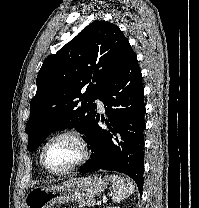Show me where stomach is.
Wrapping results in <instances>:
<instances>
[{"instance_id": "1", "label": "stomach", "mask_w": 199, "mask_h": 208, "mask_svg": "<svg viewBox=\"0 0 199 208\" xmlns=\"http://www.w3.org/2000/svg\"><path fill=\"white\" fill-rule=\"evenodd\" d=\"M107 183L96 175L69 179L58 185L35 187L25 197L26 208H50L57 203L85 201L101 195Z\"/></svg>"}]
</instances>
